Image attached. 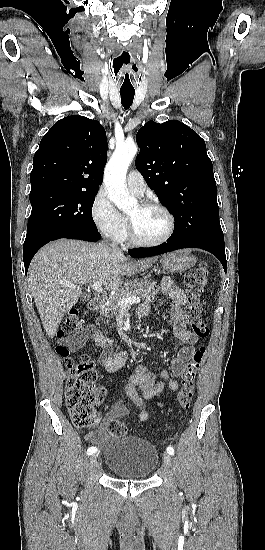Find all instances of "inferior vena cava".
I'll list each match as a JSON object with an SVG mask.
<instances>
[{"label": "inferior vena cava", "mask_w": 265, "mask_h": 550, "mask_svg": "<svg viewBox=\"0 0 265 550\" xmlns=\"http://www.w3.org/2000/svg\"><path fill=\"white\" fill-rule=\"evenodd\" d=\"M110 246L114 251H120L119 248L115 244H111Z\"/></svg>", "instance_id": "obj_1"}]
</instances>
